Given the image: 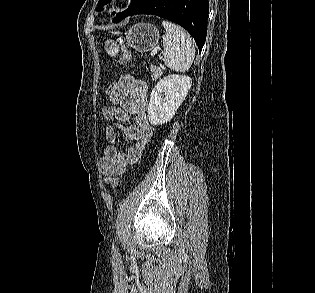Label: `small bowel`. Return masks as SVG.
I'll return each mask as SVG.
<instances>
[{
	"label": "small bowel",
	"mask_w": 315,
	"mask_h": 293,
	"mask_svg": "<svg viewBox=\"0 0 315 293\" xmlns=\"http://www.w3.org/2000/svg\"><path fill=\"white\" fill-rule=\"evenodd\" d=\"M118 91L108 94L112 103L102 109L104 119L112 123L105 128L108 144L100 159L101 171L109 176L122 174L127 165L133 164L142 154L153 133L147 117L148 85L132 75L119 78ZM130 116H134L135 125H123ZM117 129L132 142L126 150L121 151L115 145Z\"/></svg>",
	"instance_id": "1"
}]
</instances>
